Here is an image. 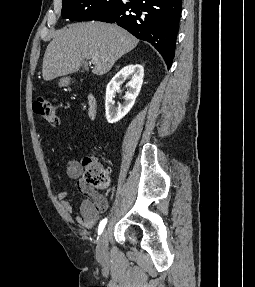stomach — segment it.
I'll use <instances>...</instances> for the list:
<instances>
[{
	"mask_svg": "<svg viewBox=\"0 0 255 287\" xmlns=\"http://www.w3.org/2000/svg\"><path fill=\"white\" fill-rule=\"evenodd\" d=\"M69 84H70L69 78H62V80H60L59 82V86H69Z\"/></svg>",
	"mask_w": 255,
	"mask_h": 287,
	"instance_id": "0dacf381",
	"label": "stomach"
}]
</instances>
